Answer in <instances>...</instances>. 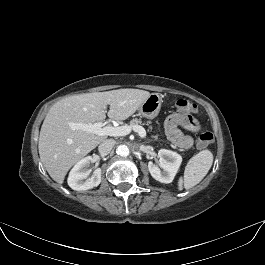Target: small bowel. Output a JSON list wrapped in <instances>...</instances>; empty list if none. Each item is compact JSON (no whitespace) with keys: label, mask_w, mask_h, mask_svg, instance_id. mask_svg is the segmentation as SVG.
I'll list each match as a JSON object with an SVG mask.
<instances>
[{"label":"small bowel","mask_w":265,"mask_h":265,"mask_svg":"<svg viewBox=\"0 0 265 265\" xmlns=\"http://www.w3.org/2000/svg\"><path fill=\"white\" fill-rule=\"evenodd\" d=\"M180 127L190 131H197L199 123L193 116L185 113L172 114L165 122V132L168 139L179 148L189 149L193 145V138L185 135L180 130Z\"/></svg>","instance_id":"c3829d8e"}]
</instances>
